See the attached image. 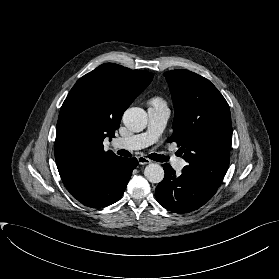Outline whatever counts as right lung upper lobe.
<instances>
[{
    "mask_svg": "<svg viewBox=\"0 0 279 279\" xmlns=\"http://www.w3.org/2000/svg\"><path fill=\"white\" fill-rule=\"evenodd\" d=\"M152 78L147 71L105 63L76 82L61 107L54 148L66 187L120 158L104 151L103 140L115 135L124 111Z\"/></svg>",
    "mask_w": 279,
    "mask_h": 279,
    "instance_id": "obj_1",
    "label": "right lung upper lobe"
}]
</instances>
